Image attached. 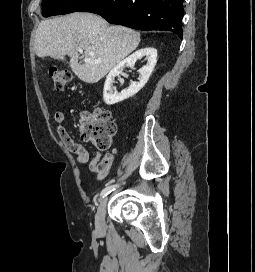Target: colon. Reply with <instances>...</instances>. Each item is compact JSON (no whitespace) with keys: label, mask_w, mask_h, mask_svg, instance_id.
<instances>
[{"label":"colon","mask_w":255,"mask_h":272,"mask_svg":"<svg viewBox=\"0 0 255 272\" xmlns=\"http://www.w3.org/2000/svg\"><path fill=\"white\" fill-rule=\"evenodd\" d=\"M54 88L62 91L72 81L71 73L64 68H52L49 71ZM116 132V123L111 112L97 110L93 115L82 113L80 116L79 135L98 150H108Z\"/></svg>","instance_id":"1"}]
</instances>
